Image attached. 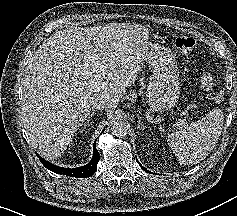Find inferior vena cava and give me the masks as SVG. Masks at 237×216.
Instances as JSON below:
<instances>
[{"label": "inferior vena cava", "instance_id": "1", "mask_svg": "<svg viewBox=\"0 0 237 216\" xmlns=\"http://www.w3.org/2000/svg\"><path fill=\"white\" fill-rule=\"evenodd\" d=\"M116 104L111 103L109 100L106 99H98L93 101L91 104V109L92 110H105L107 112H114L116 108Z\"/></svg>", "mask_w": 237, "mask_h": 216}]
</instances>
